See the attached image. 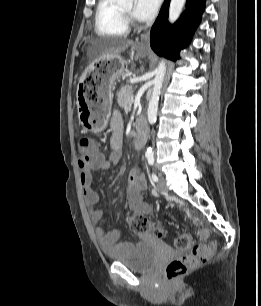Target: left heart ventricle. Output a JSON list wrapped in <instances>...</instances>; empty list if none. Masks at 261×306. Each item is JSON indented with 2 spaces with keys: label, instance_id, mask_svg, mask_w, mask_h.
Wrapping results in <instances>:
<instances>
[{
  "label": "left heart ventricle",
  "instance_id": "obj_1",
  "mask_svg": "<svg viewBox=\"0 0 261 306\" xmlns=\"http://www.w3.org/2000/svg\"><path fill=\"white\" fill-rule=\"evenodd\" d=\"M123 9H124L126 12H128V13L131 14L132 9H133V4H132V3H129V4H127L126 6H124Z\"/></svg>",
  "mask_w": 261,
  "mask_h": 306
}]
</instances>
